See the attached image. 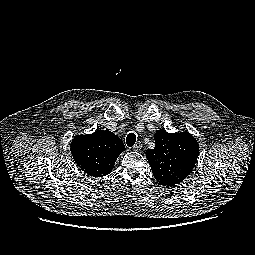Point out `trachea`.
I'll use <instances>...</instances> for the list:
<instances>
[{
    "label": "trachea",
    "mask_w": 255,
    "mask_h": 255,
    "mask_svg": "<svg viewBox=\"0 0 255 255\" xmlns=\"http://www.w3.org/2000/svg\"><path fill=\"white\" fill-rule=\"evenodd\" d=\"M136 142V135L134 133H129L126 138V143L128 147L134 146Z\"/></svg>",
    "instance_id": "3493384b"
}]
</instances>
